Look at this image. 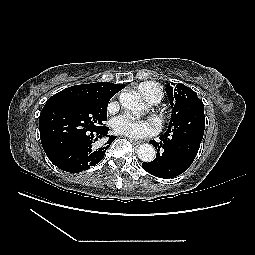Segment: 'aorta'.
<instances>
[{
    "mask_svg": "<svg viewBox=\"0 0 255 255\" xmlns=\"http://www.w3.org/2000/svg\"><path fill=\"white\" fill-rule=\"evenodd\" d=\"M119 99L121 105L131 112H138L142 109V102L130 92L121 93ZM137 154L143 162H151L156 156V151L151 144L146 143L138 147Z\"/></svg>",
    "mask_w": 255,
    "mask_h": 255,
    "instance_id": "obj_1",
    "label": "aorta"
}]
</instances>
